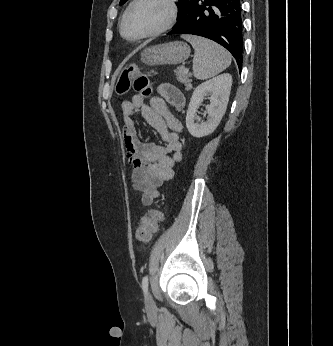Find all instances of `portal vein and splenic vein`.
Listing matches in <instances>:
<instances>
[{
  "instance_id": "18ae733b",
  "label": "portal vein and splenic vein",
  "mask_w": 333,
  "mask_h": 346,
  "mask_svg": "<svg viewBox=\"0 0 333 346\" xmlns=\"http://www.w3.org/2000/svg\"><path fill=\"white\" fill-rule=\"evenodd\" d=\"M188 71H189V69H187V68L184 69V72L188 73Z\"/></svg>"
}]
</instances>
